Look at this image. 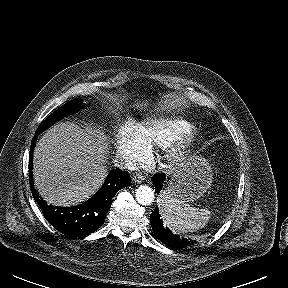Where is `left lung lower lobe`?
Segmentation results:
<instances>
[{
	"mask_svg": "<svg viewBox=\"0 0 288 288\" xmlns=\"http://www.w3.org/2000/svg\"><path fill=\"white\" fill-rule=\"evenodd\" d=\"M165 174H159L152 178L155 184V192L159 193L165 181ZM158 207L150 215V222L155 236L165 245L172 249H182L193 245V241H188L185 238H180L174 235L168 228L163 226V221L160 219Z\"/></svg>",
	"mask_w": 288,
	"mask_h": 288,
	"instance_id": "left-lung-lower-lobe-1",
	"label": "left lung lower lobe"
}]
</instances>
